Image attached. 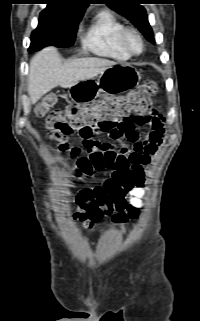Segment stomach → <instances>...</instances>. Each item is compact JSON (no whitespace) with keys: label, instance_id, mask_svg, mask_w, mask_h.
Listing matches in <instances>:
<instances>
[{"label":"stomach","instance_id":"stomach-1","mask_svg":"<svg viewBox=\"0 0 200 321\" xmlns=\"http://www.w3.org/2000/svg\"><path fill=\"white\" fill-rule=\"evenodd\" d=\"M137 69L128 64H114L103 71L98 79L80 81L69 88V96L76 102H89L99 93H124L139 84Z\"/></svg>","mask_w":200,"mask_h":321}]
</instances>
